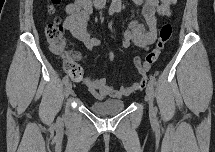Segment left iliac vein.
<instances>
[{"label": "left iliac vein", "instance_id": "obj_1", "mask_svg": "<svg viewBox=\"0 0 215 152\" xmlns=\"http://www.w3.org/2000/svg\"><path fill=\"white\" fill-rule=\"evenodd\" d=\"M153 95H154L153 85L151 83H148L147 87H146V99L149 102L150 117L152 119H155L156 118V109L153 105Z\"/></svg>", "mask_w": 215, "mask_h": 152}]
</instances>
